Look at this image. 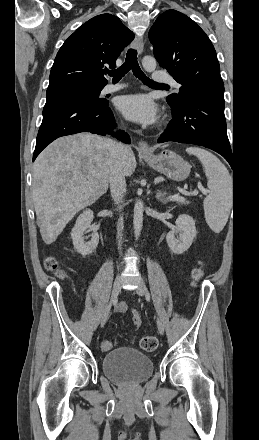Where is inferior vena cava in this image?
Here are the masks:
<instances>
[{
  "label": "inferior vena cava",
  "mask_w": 259,
  "mask_h": 440,
  "mask_svg": "<svg viewBox=\"0 0 259 440\" xmlns=\"http://www.w3.org/2000/svg\"><path fill=\"white\" fill-rule=\"evenodd\" d=\"M112 151L114 154V160L109 173L110 191L114 203L116 205H120L123 203V197L126 193V181L123 171V159L126 152V146L121 143L113 142ZM123 227V217L120 216L117 222V238L119 249H121V233Z\"/></svg>",
  "instance_id": "602c4592"
}]
</instances>
